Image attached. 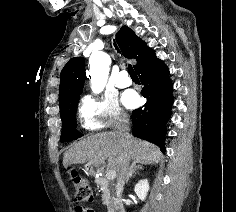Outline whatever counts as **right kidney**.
Instances as JSON below:
<instances>
[{"label": "right kidney", "mask_w": 236, "mask_h": 212, "mask_svg": "<svg viewBox=\"0 0 236 212\" xmlns=\"http://www.w3.org/2000/svg\"><path fill=\"white\" fill-rule=\"evenodd\" d=\"M149 190V183L147 179L144 180H140L134 188V192L136 193V195L138 196V198L142 201L145 200L147 193Z\"/></svg>", "instance_id": "obj_1"}]
</instances>
